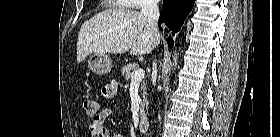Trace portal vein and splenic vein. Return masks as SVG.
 Listing matches in <instances>:
<instances>
[{"mask_svg":"<svg viewBox=\"0 0 280 137\" xmlns=\"http://www.w3.org/2000/svg\"><path fill=\"white\" fill-rule=\"evenodd\" d=\"M145 76V72L143 69H137L131 78V83L140 82Z\"/></svg>","mask_w":280,"mask_h":137,"instance_id":"18ae733b","label":"portal vein and splenic vein"}]
</instances>
